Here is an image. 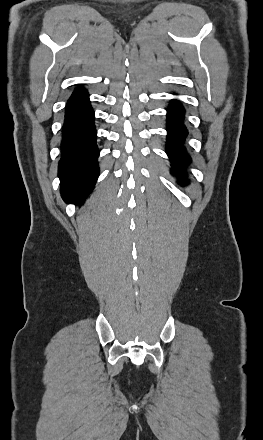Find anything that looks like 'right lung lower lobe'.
Masks as SVG:
<instances>
[{"instance_id": "right-lung-lower-lobe-1", "label": "right lung lower lobe", "mask_w": 263, "mask_h": 440, "mask_svg": "<svg viewBox=\"0 0 263 440\" xmlns=\"http://www.w3.org/2000/svg\"><path fill=\"white\" fill-rule=\"evenodd\" d=\"M94 116L86 89L78 87L66 105L58 166L60 191L67 203L83 202L99 175Z\"/></svg>"}]
</instances>
